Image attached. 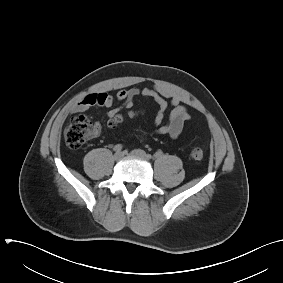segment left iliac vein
Instances as JSON below:
<instances>
[{
	"label": "left iliac vein",
	"mask_w": 283,
	"mask_h": 283,
	"mask_svg": "<svg viewBox=\"0 0 283 283\" xmlns=\"http://www.w3.org/2000/svg\"><path fill=\"white\" fill-rule=\"evenodd\" d=\"M132 156L134 157H138L144 160H150V155H148L145 151L141 150V149H135L133 151H131L130 153Z\"/></svg>",
	"instance_id": "1"
}]
</instances>
